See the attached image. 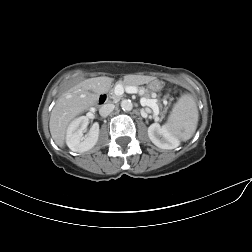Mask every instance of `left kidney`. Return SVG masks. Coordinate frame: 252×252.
Returning <instances> with one entry per match:
<instances>
[{
    "instance_id": "obj_1",
    "label": "left kidney",
    "mask_w": 252,
    "mask_h": 252,
    "mask_svg": "<svg viewBox=\"0 0 252 252\" xmlns=\"http://www.w3.org/2000/svg\"><path fill=\"white\" fill-rule=\"evenodd\" d=\"M148 136L152 143L161 149H174L179 146L178 138L167 126H160L158 123L149 126Z\"/></svg>"
}]
</instances>
